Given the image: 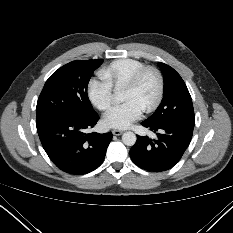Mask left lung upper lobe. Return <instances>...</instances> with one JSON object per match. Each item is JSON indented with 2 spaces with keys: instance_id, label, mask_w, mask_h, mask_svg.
Returning <instances> with one entry per match:
<instances>
[{
  "instance_id": "obj_1",
  "label": "left lung upper lobe",
  "mask_w": 233,
  "mask_h": 233,
  "mask_svg": "<svg viewBox=\"0 0 233 233\" xmlns=\"http://www.w3.org/2000/svg\"><path fill=\"white\" fill-rule=\"evenodd\" d=\"M159 66L164 75V96L145 122L155 126L176 122L195 124L192 99L183 79L172 67L164 63Z\"/></svg>"
}]
</instances>
